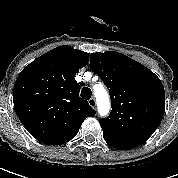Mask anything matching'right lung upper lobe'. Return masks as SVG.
Here are the masks:
<instances>
[{
  "instance_id": "right-lung-upper-lobe-1",
  "label": "right lung upper lobe",
  "mask_w": 178,
  "mask_h": 178,
  "mask_svg": "<svg viewBox=\"0 0 178 178\" xmlns=\"http://www.w3.org/2000/svg\"><path fill=\"white\" fill-rule=\"evenodd\" d=\"M89 54L59 46L27 65L13 89L14 109L28 132L37 140L60 145L74 138L87 117L95 115L79 97L77 71Z\"/></svg>"
}]
</instances>
